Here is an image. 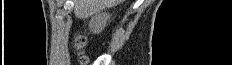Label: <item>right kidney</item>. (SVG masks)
<instances>
[{
	"label": "right kidney",
	"instance_id": "ca27d5eb",
	"mask_svg": "<svg viewBox=\"0 0 232 65\" xmlns=\"http://www.w3.org/2000/svg\"><path fill=\"white\" fill-rule=\"evenodd\" d=\"M111 15L109 13H98L91 18L89 28L93 33H100L110 21Z\"/></svg>",
	"mask_w": 232,
	"mask_h": 65
}]
</instances>
